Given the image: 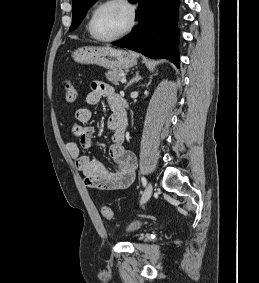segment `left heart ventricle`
<instances>
[{
	"label": "left heart ventricle",
	"mask_w": 259,
	"mask_h": 283,
	"mask_svg": "<svg viewBox=\"0 0 259 283\" xmlns=\"http://www.w3.org/2000/svg\"><path fill=\"white\" fill-rule=\"evenodd\" d=\"M129 13L120 3H111L99 10L94 21L96 35L109 38L120 33L128 24Z\"/></svg>",
	"instance_id": "1"
}]
</instances>
